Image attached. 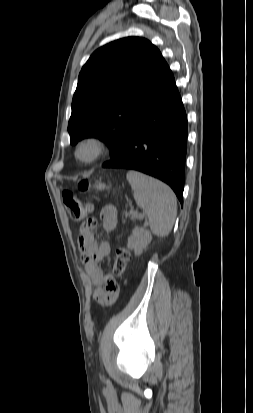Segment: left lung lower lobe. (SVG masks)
Here are the masks:
<instances>
[{
	"instance_id": "obj_1",
	"label": "left lung lower lobe",
	"mask_w": 253,
	"mask_h": 413,
	"mask_svg": "<svg viewBox=\"0 0 253 413\" xmlns=\"http://www.w3.org/2000/svg\"><path fill=\"white\" fill-rule=\"evenodd\" d=\"M122 146L104 168L141 171L167 183L183 204L187 116L171 70L126 124Z\"/></svg>"
}]
</instances>
